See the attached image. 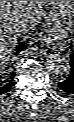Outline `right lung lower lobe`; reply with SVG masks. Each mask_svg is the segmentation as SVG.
<instances>
[{
  "mask_svg": "<svg viewBox=\"0 0 74 122\" xmlns=\"http://www.w3.org/2000/svg\"><path fill=\"white\" fill-rule=\"evenodd\" d=\"M23 49H25L24 42L20 43L18 48L16 49L17 53L21 52ZM13 76L11 77V80L7 81V83H0V95L3 94L4 92L8 91L11 86L13 85Z\"/></svg>",
  "mask_w": 74,
  "mask_h": 122,
  "instance_id": "right-lung-lower-lobe-1",
  "label": "right lung lower lobe"
}]
</instances>
